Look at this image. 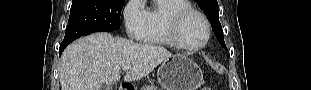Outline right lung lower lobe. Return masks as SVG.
<instances>
[{"label":"right lung lower lobe","instance_id":"1","mask_svg":"<svg viewBox=\"0 0 311 90\" xmlns=\"http://www.w3.org/2000/svg\"><path fill=\"white\" fill-rule=\"evenodd\" d=\"M69 43H66V44H61V46H60V49H59V55H61V53L63 52V50L67 47V45H68Z\"/></svg>","mask_w":311,"mask_h":90}]
</instances>
